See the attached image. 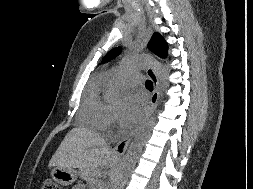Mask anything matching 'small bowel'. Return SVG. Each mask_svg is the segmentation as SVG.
<instances>
[{
    "label": "small bowel",
    "instance_id": "obj_1",
    "mask_svg": "<svg viewBox=\"0 0 253 189\" xmlns=\"http://www.w3.org/2000/svg\"><path fill=\"white\" fill-rule=\"evenodd\" d=\"M73 189H84L82 185H76Z\"/></svg>",
    "mask_w": 253,
    "mask_h": 189
}]
</instances>
